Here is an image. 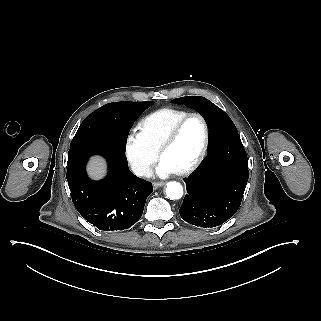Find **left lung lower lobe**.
<instances>
[{
	"label": "left lung lower lobe",
	"mask_w": 321,
	"mask_h": 321,
	"mask_svg": "<svg viewBox=\"0 0 321 321\" xmlns=\"http://www.w3.org/2000/svg\"><path fill=\"white\" fill-rule=\"evenodd\" d=\"M248 178V159L238 133L210 141L208 155L185 179L187 195L180 216L202 228L223 224L240 207Z\"/></svg>",
	"instance_id": "1"
}]
</instances>
